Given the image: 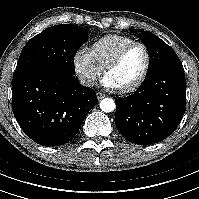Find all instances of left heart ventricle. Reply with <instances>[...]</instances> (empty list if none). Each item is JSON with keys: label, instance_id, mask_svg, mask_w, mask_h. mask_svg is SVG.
Returning <instances> with one entry per match:
<instances>
[{"label": "left heart ventricle", "instance_id": "obj_1", "mask_svg": "<svg viewBox=\"0 0 199 199\" xmlns=\"http://www.w3.org/2000/svg\"><path fill=\"white\" fill-rule=\"evenodd\" d=\"M146 64V54L141 46H133L124 55L117 67L110 70L105 78L114 89L133 84L142 74Z\"/></svg>", "mask_w": 199, "mask_h": 199}]
</instances>
